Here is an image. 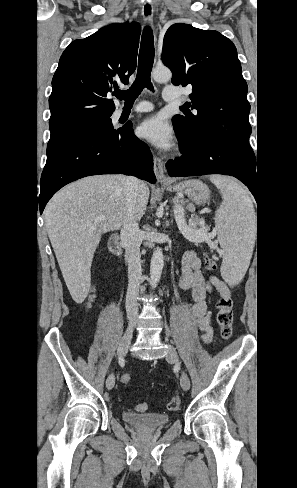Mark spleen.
I'll use <instances>...</instances> for the list:
<instances>
[{
  "mask_svg": "<svg viewBox=\"0 0 297 488\" xmlns=\"http://www.w3.org/2000/svg\"><path fill=\"white\" fill-rule=\"evenodd\" d=\"M210 180L223 198L215 215L217 238L223 250L221 275L228 284L236 285L243 279L253 253L254 207L247 191L236 180L219 175Z\"/></svg>",
  "mask_w": 297,
  "mask_h": 488,
  "instance_id": "obj_1",
  "label": "spleen"
}]
</instances>
